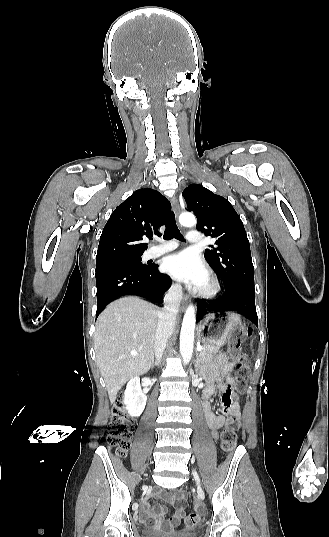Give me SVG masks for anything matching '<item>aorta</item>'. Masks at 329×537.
<instances>
[{
    "label": "aorta",
    "instance_id": "obj_1",
    "mask_svg": "<svg viewBox=\"0 0 329 537\" xmlns=\"http://www.w3.org/2000/svg\"><path fill=\"white\" fill-rule=\"evenodd\" d=\"M179 222L183 226H194L196 224V218L191 213H183L179 217ZM195 322V309L193 305H189L184 314L180 332V354L184 364H188L192 357Z\"/></svg>",
    "mask_w": 329,
    "mask_h": 537
}]
</instances>
